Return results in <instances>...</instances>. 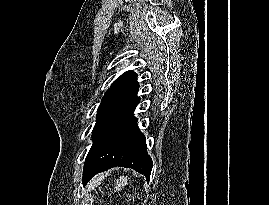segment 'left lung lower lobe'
<instances>
[{"label": "left lung lower lobe", "mask_w": 269, "mask_h": 205, "mask_svg": "<svg viewBox=\"0 0 269 205\" xmlns=\"http://www.w3.org/2000/svg\"><path fill=\"white\" fill-rule=\"evenodd\" d=\"M139 101L137 98L92 135L94 142L84 163V185L97 173L116 166L132 168L149 181L153 163L145 136L133 117Z\"/></svg>", "instance_id": "0a47b994"}]
</instances>
